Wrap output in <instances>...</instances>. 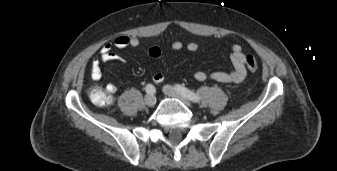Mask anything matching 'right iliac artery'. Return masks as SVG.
Instances as JSON below:
<instances>
[{"instance_id": "right-iliac-artery-1", "label": "right iliac artery", "mask_w": 337, "mask_h": 171, "mask_svg": "<svg viewBox=\"0 0 337 171\" xmlns=\"http://www.w3.org/2000/svg\"><path fill=\"white\" fill-rule=\"evenodd\" d=\"M145 90L148 94H154L156 92V89L152 84L146 85Z\"/></svg>"}]
</instances>
